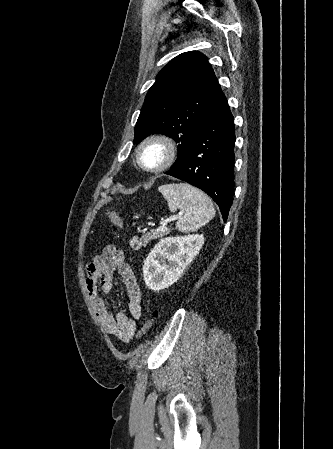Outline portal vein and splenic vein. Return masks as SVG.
<instances>
[{"mask_svg":"<svg viewBox=\"0 0 333 449\" xmlns=\"http://www.w3.org/2000/svg\"><path fill=\"white\" fill-rule=\"evenodd\" d=\"M180 215H181V214H179V215H173V216H171L170 218H168L167 220H165L164 222H162L161 224H162L163 226L168 225L169 223H171V222H173V221H176V220L180 217Z\"/></svg>","mask_w":333,"mask_h":449,"instance_id":"1","label":"portal vein and splenic vein"}]
</instances>
